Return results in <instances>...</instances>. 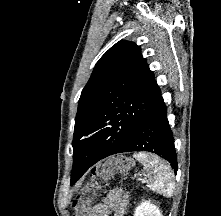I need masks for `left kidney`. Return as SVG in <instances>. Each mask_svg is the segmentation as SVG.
Masks as SVG:
<instances>
[{
	"mask_svg": "<svg viewBox=\"0 0 221 216\" xmlns=\"http://www.w3.org/2000/svg\"><path fill=\"white\" fill-rule=\"evenodd\" d=\"M134 216H162L159 208L150 201H143L135 210Z\"/></svg>",
	"mask_w": 221,
	"mask_h": 216,
	"instance_id": "obj_1",
	"label": "left kidney"
}]
</instances>
